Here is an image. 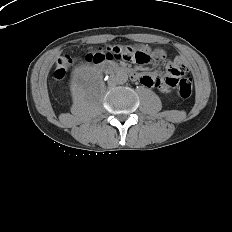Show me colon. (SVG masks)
<instances>
[{
	"instance_id": "1",
	"label": "colon",
	"mask_w": 232,
	"mask_h": 232,
	"mask_svg": "<svg viewBox=\"0 0 232 232\" xmlns=\"http://www.w3.org/2000/svg\"><path fill=\"white\" fill-rule=\"evenodd\" d=\"M154 56L157 59H161L163 54L161 51H156ZM112 59H123L128 62L143 65L149 62L150 54L145 49L136 51L131 47H108L104 50L90 52L85 56V61L90 63H101ZM69 63L70 59L68 57H60L58 59L53 72L55 79L60 80L65 76ZM186 75L187 72L185 70L171 65L169 67V76L166 79V84L170 88L175 89L183 99L189 98L192 93L191 82Z\"/></svg>"
}]
</instances>
